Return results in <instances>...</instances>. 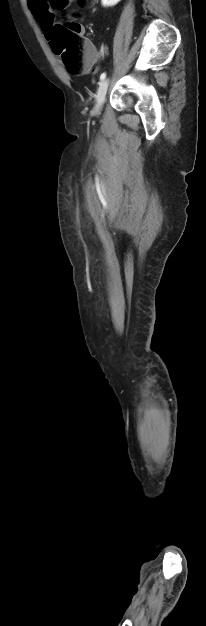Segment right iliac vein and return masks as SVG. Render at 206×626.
Instances as JSON below:
<instances>
[{
	"label": "right iliac vein",
	"instance_id": "1",
	"mask_svg": "<svg viewBox=\"0 0 206 626\" xmlns=\"http://www.w3.org/2000/svg\"><path fill=\"white\" fill-rule=\"evenodd\" d=\"M108 84H109V80L106 79V80H103L99 86L97 99H96V105H95V111L97 113L101 111L102 106L105 102Z\"/></svg>",
	"mask_w": 206,
	"mask_h": 626
}]
</instances>
